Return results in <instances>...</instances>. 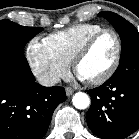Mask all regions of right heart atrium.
Masks as SVG:
<instances>
[{
    "mask_svg": "<svg viewBox=\"0 0 139 139\" xmlns=\"http://www.w3.org/2000/svg\"><path fill=\"white\" fill-rule=\"evenodd\" d=\"M26 58L37 79L50 86L68 72L69 63L57 55L44 39H33L26 49Z\"/></svg>",
    "mask_w": 139,
    "mask_h": 139,
    "instance_id": "d8ad5b80",
    "label": "right heart atrium"
}]
</instances>
